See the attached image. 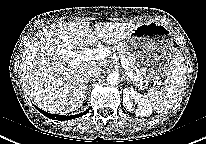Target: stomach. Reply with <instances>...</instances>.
<instances>
[{
	"instance_id": "obj_1",
	"label": "stomach",
	"mask_w": 206,
	"mask_h": 144,
	"mask_svg": "<svg viewBox=\"0 0 206 144\" xmlns=\"http://www.w3.org/2000/svg\"><path fill=\"white\" fill-rule=\"evenodd\" d=\"M125 44L140 72L138 81H156L169 74L171 61L177 52L166 26L158 22L140 24L127 37Z\"/></svg>"
}]
</instances>
